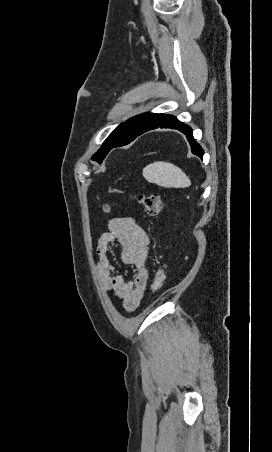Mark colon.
Wrapping results in <instances>:
<instances>
[{"mask_svg": "<svg viewBox=\"0 0 272 452\" xmlns=\"http://www.w3.org/2000/svg\"><path fill=\"white\" fill-rule=\"evenodd\" d=\"M134 199L142 205L145 212L150 216H157L162 209V200L161 197L156 193L151 194H140L134 197ZM104 212H109V205H105L103 208ZM166 279V271L165 267L161 266L157 269L153 283L151 285V290L153 293L158 292Z\"/></svg>", "mask_w": 272, "mask_h": 452, "instance_id": "5ec220e1", "label": "colon"}]
</instances>
